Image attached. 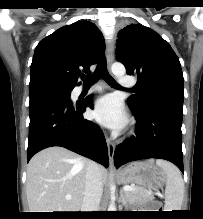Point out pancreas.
<instances>
[{
  "label": "pancreas",
  "instance_id": "pancreas-1",
  "mask_svg": "<svg viewBox=\"0 0 203 219\" xmlns=\"http://www.w3.org/2000/svg\"><path fill=\"white\" fill-rule=\"evenodd\" d=\"M125 197L128 202H149L154 199L152 193L141 187H134L132 191H125Z\"/></svg>",
  "mask_w": 203,
  "mask_h": 219
}]
</instances>
